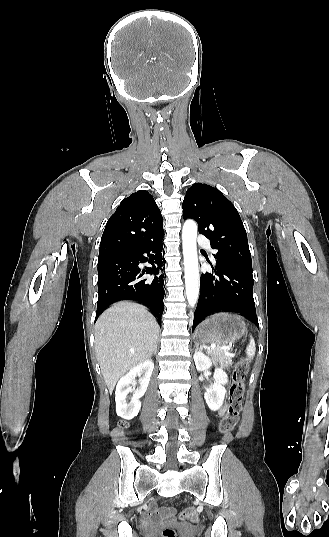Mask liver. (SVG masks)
I'll list each match as a JSON object with an SVG mask.
<instances>
[{
  "label": "liver",
  "instance_id": "liver-1",
  "mask_svg": "<svg viewBox=\"0 0 329 537\" xmlns=\"http://www.w3.org/2000/svg\"><path fill=\"white\" fill-rule=\"evenodd\" d=\"M159 325L137 303L114 304L95 325V354L110 394L128 370L149 360L157 348Z\"/></svg>",
  "mask_w": 329,
  "mask_h": 537
}]
</instances>
